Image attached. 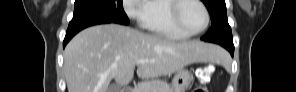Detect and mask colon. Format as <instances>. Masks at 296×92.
<instances>
[{"mask_svg":"<svg viewBox=\"0 0 296 92\" xmlns=\"http://www.w3.org/2000/svg\"><path fill=\"white\" fill-rule=\"evenodd\" d=\"M196 75L200 81H207L212 76V69L211 67L201 68ZM193 92H208V89L204 85H199L193 90Z\"/></svg>","mask_w":296,"mask_h":92,"instance_id":"colon-1","label":"colon"}]
</instances>
